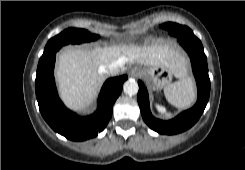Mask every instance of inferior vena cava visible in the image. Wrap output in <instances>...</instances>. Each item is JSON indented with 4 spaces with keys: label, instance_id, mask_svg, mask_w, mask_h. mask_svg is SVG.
<instances>
[{
    "label": "inferior vena cava",
    "instance_id": "1",
    "mask_svg": "<svg viewBox=\"0 0 245 170\" xmlns=\"http://www.w3.org/2000/svg\"><path fill=\"white\" fill-rule=\"evenodd\" d=\"M102 71L108 75H116L119 73L120 69L117 64L111 63L108 66L103 67Z\"/></svg>",
    "mask_w": 245,
    "mask_h": 170
}]
</instances>
